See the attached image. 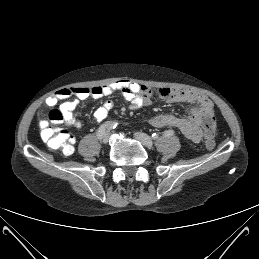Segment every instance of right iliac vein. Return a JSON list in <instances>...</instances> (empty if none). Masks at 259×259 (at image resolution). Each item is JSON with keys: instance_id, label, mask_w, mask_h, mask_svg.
I'll return each instance as SVG.
<instances>
[{"instance_id": "right-iliac-vein-1", "label": "right iliac vein", "mask_w": 259, "mask_h": 259, "mask_svg": "<svg viewBox=\"0 0 259 259\" xmlns=\"http://www.w3.org/2000/svg\"><path fill=\"white\" fill-rule=\"evenodd\" d=\"M110 139V132L106 131L104 132L102 138L100 139L103 143H107Z\"/></svg>"}]
</instances>
